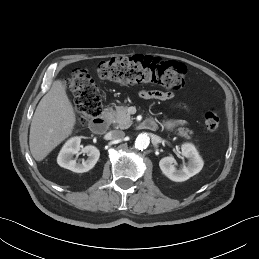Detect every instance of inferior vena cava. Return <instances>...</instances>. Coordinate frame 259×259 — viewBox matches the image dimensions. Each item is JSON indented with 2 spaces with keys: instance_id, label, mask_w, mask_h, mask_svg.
Instances as JSON below:
<instances>
[{
  "instance_id": "1",
  "label": "inferior vena cava",
  "mask_w": 259,
  "mask_h": 259,
  "mask_svg": "<svg viewBox=\"0 0 259 259\" xmlns=\"http://www.w3.org/2000/svg\"><path fill=\"white\" fill-rule=\"evenodd\" d=\"M110 138L113 140H119L125 137V132L122 130H112L109 132Z\"/></svg>"
}]
</instances>
